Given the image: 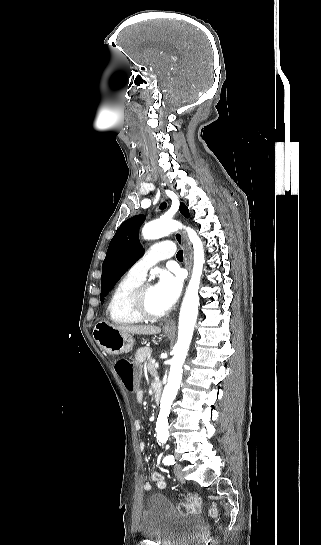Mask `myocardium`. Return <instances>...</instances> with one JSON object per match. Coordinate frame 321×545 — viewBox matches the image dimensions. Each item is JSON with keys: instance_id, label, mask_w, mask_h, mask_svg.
<instances>
[{"instance_id": "1", "label": "myocardium", "mask_w": 321, "mask_h": 545, "mask_svg": "<svg viewBox=\"0 0 321 545\" xmlns=\"http://www.w3.org/2000/svg\"><path fill=\"white\" fill-rule=\"evenodd\" d=\"M150 284L142 282L137 285L129 295L128 309L137 318L142 321H155L163 318L166 313H153L146 310L143 306L142 297Z\"/></svg>"}]
</instances>
